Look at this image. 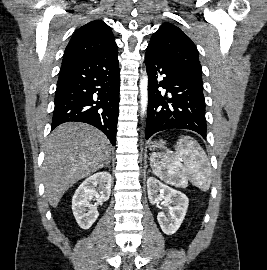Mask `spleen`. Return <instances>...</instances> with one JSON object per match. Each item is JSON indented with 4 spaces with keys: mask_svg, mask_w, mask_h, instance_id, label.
Listing matches in <instances>:
<instances>
[{
    "mask_svg": "<svg viewBox=\"0 0 267 270\" xmlns=\"http://www.w3.org/2000/svg\"><path fill=\"white\" fill-rule=\"evenodd\" d=\"M176 152L153 153L150 165L156 176L177 187H187L188 181L203 191L211 183V166L200 144L190 136H180Z\"/></svg>",
    "mask_w": 267,
    "mask_h": 270,
    "instance_id": "spleen-1",
    "label": "spleen"
}]
</instances>
